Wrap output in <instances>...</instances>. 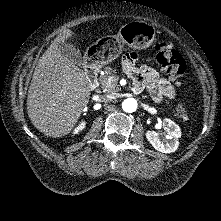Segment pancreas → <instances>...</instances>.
<instances>
[{
  "instance_id": "pancreas-1",
  "label": "pancreas",
  "mask_w": 221,
  "mask_h": 221,
  "mask_svg": "<svg viewBox=\"0 0 221 221\" xmlns=\"http://www.w3.org/2000/svg\"><path fill=\"white\" fill-rule=\"evenodd\" d=\"M116 70L111 67L104 68V74L100 76V84L101 87L108 92H116L119 91V87L117 85L119 77L115 75ZM114 77L112 82H109V78Z\"/></svg>"
}]
</instances>
